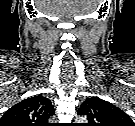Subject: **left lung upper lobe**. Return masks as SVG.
<instances>
[{
    "instance_id": "left-lung-upper-lobe-1",
    "label": "left lung upper lobe",
    "mask_w": 135,
    "mask_h": 126,
    "mask_svg": "<svg viewBox=\"0 0 135 126\" xmlns=\"http://www.w3.org/2000/svg\"><path fill=\"white\" fill-rule=\"evenodd\" d=\"M78 114L87 117V126H135L124 111L98 97L85 100Z\"/></svg>"
}]
</instances>
